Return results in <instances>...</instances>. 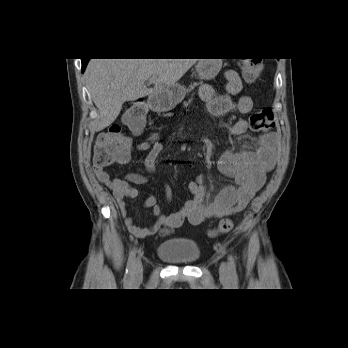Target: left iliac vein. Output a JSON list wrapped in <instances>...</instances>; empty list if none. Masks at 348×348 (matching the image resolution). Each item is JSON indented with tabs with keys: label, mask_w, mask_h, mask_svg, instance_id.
I'll return each mask as SVG.
<instances>
[{
	"label": "left iliac vein",
	"mask_w": 348,
	"mask_h": 348,
	"mask_svg": "<svg viewBox=\"0 0 348 348\" xmlns=\"http://www.w3.org/2000/svg\"><path fill=\"white\" fill-rule=\"evenodd\" d=\"M219 274L222 281L227 282L229 281L230 275L228 266L225 262H222L219 268Z\"/></svg>",
	"instance_id": "left-iliac-vein-1"
}]
</instances>
